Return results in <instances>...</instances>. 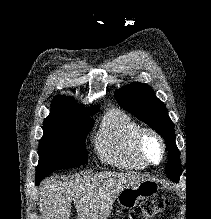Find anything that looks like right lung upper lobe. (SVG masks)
<instances>
[{"label":"right lung upper lobe","instance_id":"obj_1","mask_svg":"<svg viewBox=\"0 0 211 219\" xmlns=\"http://www.w3.org/2000/svg\"><path fill=\"white\" fill-rule=\"evenodd\" d=\"M98 110V106L88 109L78 105L70 97L58 95L52 100L50 115L48 117L59 118L71 116H89Z\"/></svg>","mask_w":211,"mask_h":219}]
</instances>
